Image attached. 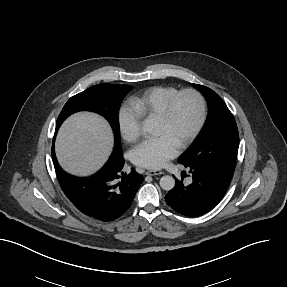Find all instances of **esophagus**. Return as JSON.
Segmentation results:
<instances>
[{
  "label": "esophagus",
  "instance_id": "1",
  "mask_svg": "<svg viewBox=\"0 0 287 287\" xmlns=\"http://www.w3.org/2000/svg\"><path fill=\"white\" fill-rule=\"evenodd\" d=\"M146 175L154 176V175H160L163 174L160 170H148L145 172Z\"/></svg>",
  "mask_w": 287,
  "mask_h": 287
}]
</instances>
